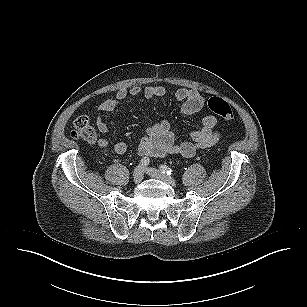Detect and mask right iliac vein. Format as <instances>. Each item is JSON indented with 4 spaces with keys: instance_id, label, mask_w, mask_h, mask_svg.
I'll return each instance as SVG.
<instances>
[{
    "instance_id": "63e3f726",
    "label": "right iliac vein",
    "mask_w": 307,
    "mask_h": 307,
    "mask_svg": "<svg viewBox=\"0 0 307 307\" xmlns=\"http://www.w3.org/2000/svg\"><path fill=\"white\" fill-rule=\"evenodd\" d=\"M143 179L142 166H137L133 172V181L135 184H139Z\"/></svg>"
}]
</instances>
